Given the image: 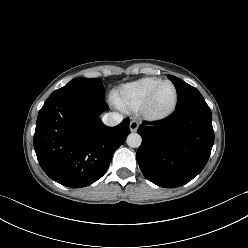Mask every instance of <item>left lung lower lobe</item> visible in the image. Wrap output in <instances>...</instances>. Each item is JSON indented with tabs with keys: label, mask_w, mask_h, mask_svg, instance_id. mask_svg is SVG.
<instances>
[{
	"label": "left lung lower lobe",
	"mask_w": 248,
	"mask_h": 248,
	"mask_svg": "<svg viewBox=\"0 0 248 248\" xmlns=\"http://www.w3.org/2000/svg\"><path fill=\"white\" fill-rule=\"evenodd\" d=\"M137 162L143 175L160 187L182 186L206 165L214 143L212 115L204 99L196 100L154 126H140Z\"/></svg>",
	"instance_id": "1"
}]
</instances>
